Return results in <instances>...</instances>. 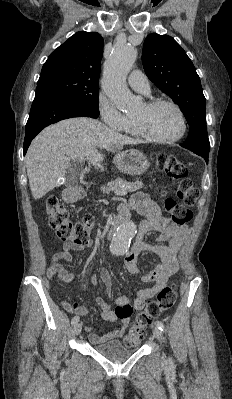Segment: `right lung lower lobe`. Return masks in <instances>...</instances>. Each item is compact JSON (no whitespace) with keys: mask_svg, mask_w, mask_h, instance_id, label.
I'll use <instances>...</instances> for the list:
<instances>
[{"mask_svg":"<svg viewBox=\"0 0 232 399\" xmlns=\"http://www.w3.org/2000/svg\"><path fill=\"white\" fill-rule=\"evenodd\" d=\"M96 113L51 92H36L25 128L24 155L33 138L46 126L72 117L98 118Z\"/></svg>","mask_w":232,"mask_h":399,"instance_id":"1","label":"right lung lower lobe"}]
</instances>
